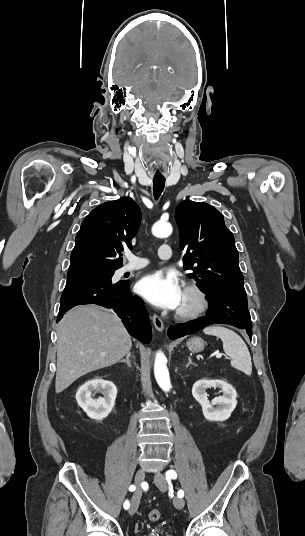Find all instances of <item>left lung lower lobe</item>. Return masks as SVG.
<instances>
[{
  "mask_svg": "<svg viewBox=\"0 0 305 536\" xmlns=\"http://www.w3.org/2000/svg\"><path fill=\"white\" fill-rule=\"evenodd\" d=\"M209 310L206 316L169 329V338L175 339L195 333L212 324H229L245 329L252 338V323L244 291H214L208 293Z\"/></svg>",
  "mask_w": 305,
  "mask_h": 536,
  "instance_id": "1",
  "label": "left lung lower lobe"
}]
</instances>
